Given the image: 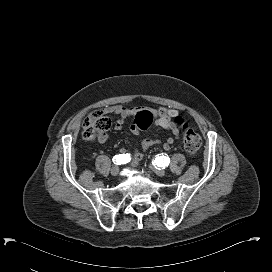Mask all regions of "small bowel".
Returning <instances> with one entry per match:
<instances>
[{"label": "small bowel", "instance_id": "c3829d8e", "mask_svg": "<svg viewBox=\"0 0 272 272\" xmlns=\"http://www.w3.org/2000/svg\"><path fill=\"white\" fill-rule=\"evenodd\" d=\"M138 108L135 107H126L123 105H113L109 106L105 109L106 114H111L117 116V120L115 122L114 128L116 131L123 130L126 122L130 119L136 112ZM149 113L154 118V124L156 126L162 127L166 130L172 132L173 137L167 138L164 142H162V146L164 150H169L170 146L174 143L176 139L179 137V127L172 121L174 117L178 115V111L175 109H170L166 107H158V108H150L148 109ZM149 126L147 123L145 126L134 125L131 127V130L134 133H139V131L146 129ZM98 142L104 143L108 140V134L106 132H101L98 135ZM160 140L146 138L142 140L140 144V149L135 151L133 158V165L136 166L142 158L143 151L153 147L156 144H160ZM121 153H126V148L120 149Z\"/></svg>", "mask_w": 272, "mask_h": 272}]
</instances>
